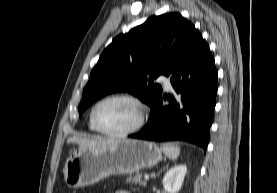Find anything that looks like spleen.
Returning <instances> with one entry per match:
<instances>
[{"mask_svg": "<svg viewBox=\"0 0 277 193\" xmlns=\"http://www.w3.org/2000/svg\"><path fill=\"white\" fill-rule=\"evenodd\" d=\"M162 151L168 158L176 160L180 154V147L171 144H163Z\"/></svg>", "mask_w": 277, "mask_h": 193, "instance_id": "spleen-1", "label": "spleen"}]
</instances>
